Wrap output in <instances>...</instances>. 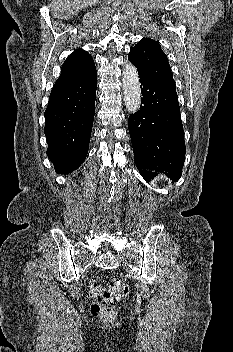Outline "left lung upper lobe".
<instances>
[{"label":"left lung upper lobe","instance_id":"1","mask_svg":"<svg viewBox=\"0 0 233 352\" xmlns=\"http://www.w3.org/2000/svg\"><path fill=\"white\" fill-rule=\"evenodd\" d=\"M128 59L138 71L175 88L167 56L157 41L143 38L130 50Z\"/></svg>","mask_w":233,"mask_h":352}]
</instances>
